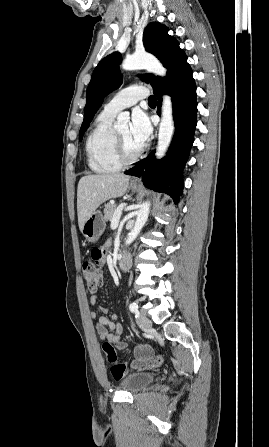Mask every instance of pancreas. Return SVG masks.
<instances>
[{
	"label": "pancreas",
	"mask_w": 269,
	"mask_h": 447,
	"mask_svg": "<svg viewBox=\"0 0 269 447\" xmlns=\"http://www.w3.org/2000/svg\"><path fill=\"white\" fill-rule=\"evenodd\" d=\"M115 210H116V204H106L104 208V214H105L104 218L106 222H111Z\"/></svg>",
	"instance_id": "1"
}]
</instances>
